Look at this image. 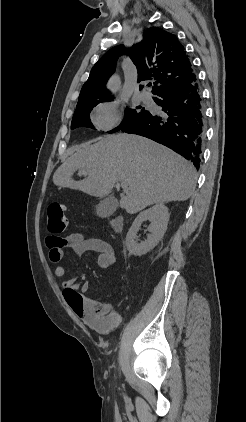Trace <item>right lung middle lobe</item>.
<instances>
[{
  "instance_id": "right-lung-middle-lobe-1",
  "label": "right lung middle lobe",
  "mask_w": 246,
  "mask_h": 422,
  "mask_svg": "<svg viewBox=\"0 0 246 422\" xmlns=\"http://www.w3.org/2000/svg\"><path fill=\"white\" fill-rule=\"evenodd\" d=\"M108 100H111V99L97 100V101H93V102L81 105L79 107H76V110L74 112L72 122H71V129H74L77 127H92L93 128L92 123L89 118V114L91 110L100 102L108 101ZM140 108H141L140 106L137 107V109H140ZM149 114H150V111L145 110L144 108H141V110L126 109L125 118L120 124V126L113 129L112 131H109V133L127 128L135 124L136 122L145 119Z\"/></svg>"
}]
</instances>
